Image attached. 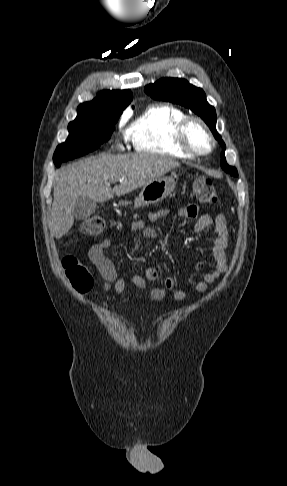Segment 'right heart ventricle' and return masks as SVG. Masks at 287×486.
I'll return each mask as SVG.
<instances>
[{
  "mask_svg": "<svg viewBox=\"0 0 287 486\" xmlns=\"http://www.w3.org/2000/svg\"><path fill=\"white\" fill-rule=\"evenodd\" d=\"M187 117L172 105L156 104L146 108L126 130V137L139 153L191 158L176 141V129Z\"/></svg>",
  "mask_w": 287,
  "mask_h": 486,
  "instance_id": "e07e8e85",
  "label": "right heart ventricle"
}]
</instances>
